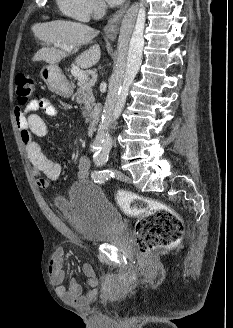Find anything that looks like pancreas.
<instances>
[{
    "label": "pancreas",
    "instance_id": "cf45deb5",
    "mask_svg": "<svg viewBox=\"0 0 233 328\" xmlns=\"http://www.w3.org/2000/svg\"><path fill=\"white\" fill-rule=\"evenodd\" d=\"M78 88L75 93L76 102L83 105L86 122L93 115V108L95 106V98L92 92L91 84L86 80H78Z\"/></svg>",
    "mask_w": 233,
    "mask_h": 328
}]
</instances>
